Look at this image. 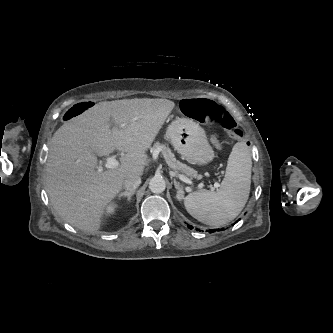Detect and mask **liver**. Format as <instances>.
Masks as SVG:
<instances>
[{"mask_svg": "<svg viewBox=\"0 0 333 333\" xmlns=\"http://www.w3.org/2000/svg\"><path fill=\"white\" fill-rule=\"evenodd\" d=\"M167 99L99 102L53 135L45 167L46 191L64 221L88 233L100 229L107 206L129 175L143 174L146 151L171 113ZM110 118L115 125L110 128ZM126 152L118 168L97 171V156Z\"/></svg>", "mask_w": 333, "mask_h": 333, "instance_id": "6515ba94", "label": "liver"}]
</instances>
